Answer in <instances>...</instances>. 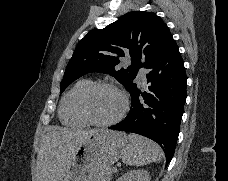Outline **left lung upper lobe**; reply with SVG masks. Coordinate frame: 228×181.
I'll use <instances>...</instances> for the list:
<instances>
[{
    "label": "left lung upper lobe",
    "instance_id": "obj_1",
    "mask_svg": "<svg viewBox=\"0 0 228 181\" xmlns=\"http://www.w3.org/2000/svg\"><path fill=\"white\" fill-rule=\"evenodd\" d=\"M170 37L161 18L146 11L129 12L103 29H93L78 43L66 67L60 92L89 72L109 74L130 91L136 85L138 69ZM128 56L132 64L120 68L119 57Z\"/></svg>",
    "mask_w": 228,
    "mask_h": 181
}]
</instances>
